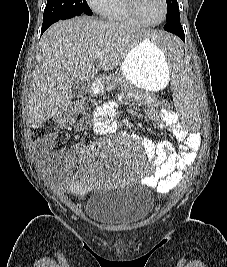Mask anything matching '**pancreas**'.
<instances>
[{
    "instance_id": "obj_1",
    "label": "pancreas",
    "mask_w": 227,
    "mask_h": 267,
    "mask_svg": "<svg viewBox=\"0 0 227 267\" xmlns=\"http://www.w3.org/2000/svg\"><path fill=\"white\" fill-rule=\"evenodd\" d=\"M116 84L125 86V85H127V82L124 79V77H122L119 74H114V75L107 78L106 85H107L108 89L112 88Z\"/></svg>"
}]
</instances>
